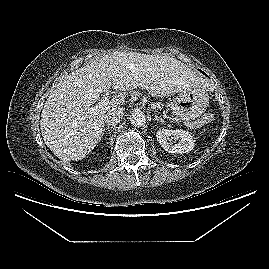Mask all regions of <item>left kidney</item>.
I'll use <instances>...</instances> for the list:
<instances>
[{
  "mask_svg": "<svg viewBox=\"0 0 269 269\" xmlns=\"http://www.w3.org/2000/svg\"><path fill=\"white\" fill-rule=\"evenodd\" d=\"M156 137L169 153H187L194 148L193 136L185 130L160 129Z\"/></svg>",
  "mask_w": 269,
  "mask_h": 269,
  "instance_id": "5707ae66",
  "label": "left kidney"
}]
</instances>
